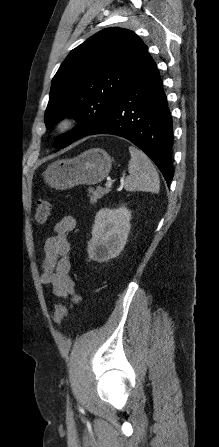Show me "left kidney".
<instances>
[{
	"mask_svg": "<svg viewBox=\"0 0 219 447\" xmlns=\"http://www.w3.org/2000/svg\"><path fill=\"white\" fill-rule=\"evenodd\" d=\"M130 219L131 212L125 207L99 210L88 242L89 258L105 262L118 256L127 242Z\"/></svg>",
	"mask_w": 219,
	"mask_h": 447,
	"instance_id": "5707ae66",
	"label": "left kidney"
}]
</instances>
